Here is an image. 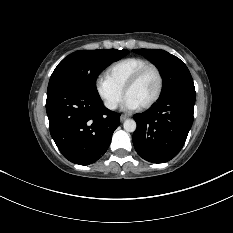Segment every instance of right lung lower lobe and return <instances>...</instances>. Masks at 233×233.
<instances>
[{
	"mask_svg": "<svg viewBox=\"0 0 233 233\" xmlns=\"http://www.w3.org/2000/svg\"><path fill=\"white\" fill-rule=\"evenodd\" d=\"M46 111L50 133L69 161L88 165L107 151L120 114L108 110L99 95L72 87L47 91Z\"/></svg>",
	"mask_w": 233,
	"mask_h": 233,
	"instance_id": "98d812e1",
	"label": "right lung lower lobe"
}]
</instances>
